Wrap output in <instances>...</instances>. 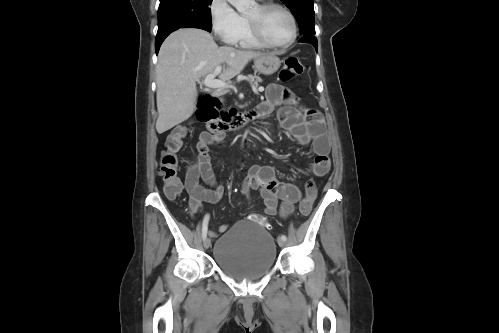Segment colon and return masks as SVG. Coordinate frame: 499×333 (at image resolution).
Listing matches in <instances>:
<instances>
[{
	"mask_svg": "<svg viewBox=\"0 0 499 333\" xmlns=\"http://www.w3.org/2000/svg\"><path fill=\"white\" fill-rule=\"evenodd\" d=\"M305 70L304 65L294 57L287 58L283 69L280 72L282 81H289L294 77L302 74ZM186 129L183 126H178L173 129L165 142V150L161 156L159 175L164 183V192L167 197L173 199L182 191V183L177 176V153L182 148L183 138L185 137ZM317 196V187L314 181L309 180L305 185V197L300 202V213L303 216L310 214L312 206ZM249 220L256 222L262 226L269 227L266 219L259 214L249 215Z\"/></svg>",
	"mask_w": 499,
	"mask_h": 333,
	"instance_id": "obj_1",
	"label": "colon"
}]
</instances>
